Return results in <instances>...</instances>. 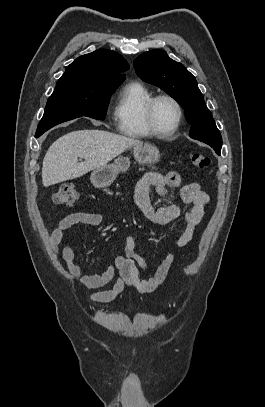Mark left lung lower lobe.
Segmentation results:
<instances>
[{
    "mask_svg": "<svg viewBox=\"0 0 265 407\" xmlns=\"http://www.w3.org/2000/svg\"><path fill=\"white\" fill-rule=\"evenodd\" d=\"M210 146L215 150V152H216L218 155H220V151H221V150H219L216 145H212V144H211Z\"/></svg>",
    "mask_w": 265,
    "mask_h": 407,
    "instance_id": "1",
    "label": "left lung lower lobe"
}]
</instances>
